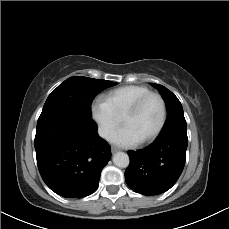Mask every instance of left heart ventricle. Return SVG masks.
<instances>
[{"label": "left heart ventricle", "mask_w": 229, "mask_h": 229, "mask_svg": "<svg viewBox=\"0 0 229 229\" xmlns=\"http://www.w3.org/2000/svg\"><path fill=\"white\" fill-rule=\"evenodd\" d=\"M161 120V105L157 98H148L132 116L124 128H126L130 134L139 139H143L151 135L158 127Z\"/></svg>", "instance_id": "b2bd125f"}]
</instances>
